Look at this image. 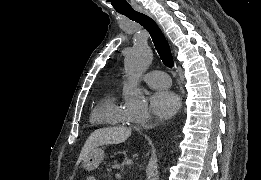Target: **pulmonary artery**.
<instances>
[{
	"label": "pulmonary artery",
	"mask_w": 261,
	"mask_h": 180,
	"mask_svg": "<svg viewBox=\"0 0 261 180\" xmlns=\"http://www.w3.org/2000/svg\"><path fill=\"white\" fill-rule=\"evenodd\" d=\"M148 84L149 88H170V78L162 71H151L140 78Z\"/></svg>",
	"instance_id": "obj_1"
}]
</instances>
